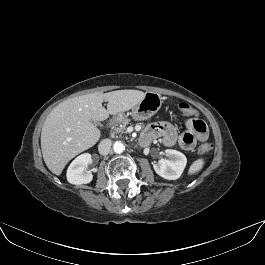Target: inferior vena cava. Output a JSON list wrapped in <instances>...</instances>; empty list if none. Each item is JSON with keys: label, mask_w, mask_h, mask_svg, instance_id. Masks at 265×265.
Returning a JSON list of instances; mask_svg holds the SVG:
<instances>
[{"label": "inferior vena cava", "mask_w": 265, "mask_h": 265, "mask_svg": "<svg viewBox=\"0 0 265 265\" xmlns=\"http://www.w3.org/2000/svg\"><path fill=\"white\" fill-rule=\"evenodd\" d=\"M112 140L103 139L98 145V151L101 155H107L111 149Z\"/></svg>", "instance_id": "inferior-vena-cava-1"}]
</instances>
